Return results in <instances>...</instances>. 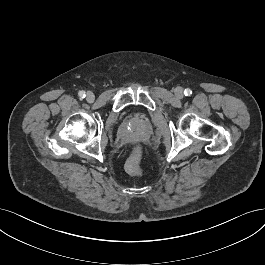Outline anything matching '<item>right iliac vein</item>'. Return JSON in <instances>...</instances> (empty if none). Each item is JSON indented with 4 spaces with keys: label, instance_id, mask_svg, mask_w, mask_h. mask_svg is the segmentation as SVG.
<instances>
[{
    "label": "right iliac vein",
    "instance_id": "63e3f726",
    "mask_svg": "<svg viewBox=\"0 0 265 265\" xmlns=\"http://www.w3.org/2000/svg\"><path fill=\"white\" fill-rule=\"evenodd\" d=\"M86 100L89 102V103H92L94 100H95V96L92 92H88L86 94Z\"/></svg>",
    "mask_w": 265,
    "mask_h": 265
}]
</instances>
